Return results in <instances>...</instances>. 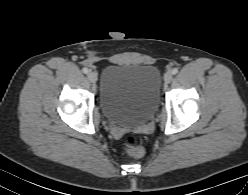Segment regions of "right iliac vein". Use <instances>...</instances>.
<instances>
[{"label": "right iliac vein", "instance_id": "obj_1", "mask_svg": "<svg viewBox=\"0 0 248 195\" xmlns=\"http://www.w3.org/2000/svg\"><path fill=\"white\" fill-rule=\"evenodd\" d=\"M87 77H88L89 81L92 82V83H95L97 81V73L94 72V71H90L87 74Z\"/></svg>", "mask_w": 248, "mask_h": 195}]
</instances>
